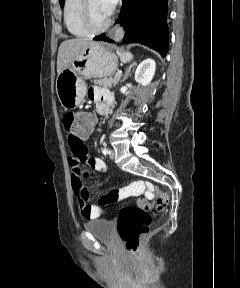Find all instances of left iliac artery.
<instances>
[{"mask_svg":"<svg viewBox=\"0 0 240 288\" xmlns=\"http://www.w3.org/2000/svg\"><path fill=\"white\" fill-rule=\"evenodd\" d=\"M103 153H104L105 155L110 154L109 148H107L106 146H104V148H103Z\"/></svg>","mask_w":240,"mask_h":288,"instance_id":"obj_1","label":"left iliac artery"}]
</instances>
